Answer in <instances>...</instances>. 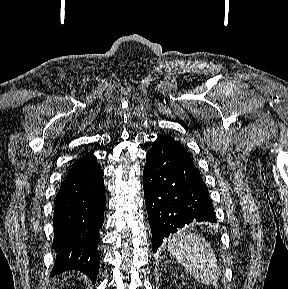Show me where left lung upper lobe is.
<instances>
[{
	"label": "left lung upper lobe",
	"instance_id": "1",
	"mask_svg": "<svg viewBox=\"0 0 288 289\" xmlns=\"http://www.w3.org/2000/svg\"><path fill=\"white\" fill-rule=\"evenodd\" d=\"M159 139H164L169 141L171 144H173V146L179 150L183 155H185L186 157H188L189 159H191L190 155L188 154V152L186 151L185 147L180 143V141H176L174 139V137L165 135V136H160ZM192 160V159H191Z\"/></svg>",
	"mask_w": 288,
	"mask_h": 289
}]
</instances>
